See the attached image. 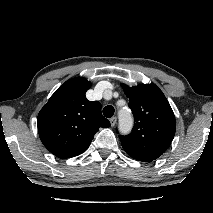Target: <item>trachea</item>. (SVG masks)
I'll return each instance as SVG.
<instances>
[{"instance_id": "3493384b", "label": "trachea", "mask_w": 213, "mask_h": 213, "mask_svg": "<svg viewBox=\"0 0 213 213\" xmlns=\"http://www.w3.org/2000/svg\"><path fill=\"white\" fill-rule=\"evenodd\" d=\"M114 107L111 106V105H108L106 107H104L103 109V115L106 117V118H111L114 114Z\"/></svg>"}]
</instances>
